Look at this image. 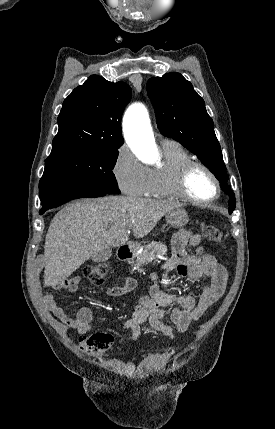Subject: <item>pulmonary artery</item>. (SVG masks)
<instances>
[{
  "label": "pulmonary artery",
  "mask_w": 275,
  "mask_h": 429,
  "mask_svg": "<svg viewBox=\"0 0 275 429\" xmlns=\"http://www.w3.org/2000/svg\"><path fill=\"white\" fill-rule=\"evenodd\" d=\"M168 142H173V141L168 140V139H165V140H163V142H162V143H168Z\"/></svg>",
  "instance_id": "1"
}]
</instances>
